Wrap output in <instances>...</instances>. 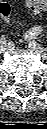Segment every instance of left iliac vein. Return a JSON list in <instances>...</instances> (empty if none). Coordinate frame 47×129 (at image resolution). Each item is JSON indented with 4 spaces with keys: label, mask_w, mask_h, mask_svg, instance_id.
<instances>
[{
    "label": "left iliac vein",
    "mask_w": 47,
    "mask_h": 129,
    "mask_svg": "<svg viewBox=\"0 0 47 129\" xmlns=\"http://www.w3.org/2000/svg\"><path fill=\"white\" fill-rule=\"evenodd\" d=\"M29 46L32 50L39 53L43 58H46V52L44 48L35 42V37L29 38Z\"/></svg>",
    "instance_id": "1"
}]
</instances>
